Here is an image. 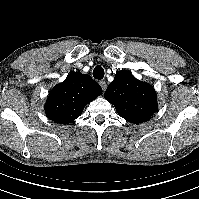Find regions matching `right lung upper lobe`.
<instances>
[{
	"instance_id": "right-lung-upper-lobe-1",
	"label": "right lung upper lobe",
	"mask_w": 199,
	"mask_h": 199,
	"mask_svg": "<svg viewBox=\"0 0 199 199\" xmlns=\"http://www.w3.org/2000/svg\"><path fill=\"white\" fill-rule=\"evenodd\" d=\"M101 94V86L89 75L74 72L52 89L45 112L56 123L67 124L79 117L84 107Z\"/></svg>"
}]
</instances>
